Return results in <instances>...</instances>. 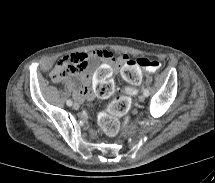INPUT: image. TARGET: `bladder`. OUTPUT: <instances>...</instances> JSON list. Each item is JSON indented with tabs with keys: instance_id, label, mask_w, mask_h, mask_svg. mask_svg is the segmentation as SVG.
<instances>
[{
	"instance_id": "31cf9c89",
	"label": "bladder",
	"mask_w": 215,
	"mask_h": 183,
	"mask_svg": "<svg viewBox=\"0 0 215 183\" xmlns=\"http://www.w3.org/2000/svg\"><path fill=\"white\" fill-rule=\"evenodd\" d=\"M100 68V59L97 57H90L85 62V65L83 67V70L86 72H97Z\"/></svg>"
}]
</instances>
